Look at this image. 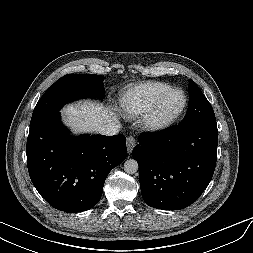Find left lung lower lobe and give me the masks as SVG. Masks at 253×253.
<instances>
[{"label": "left lung lower lobe", "mask_w": 253, "mask_h": 253, "mask_svg": "<svg viewBox=\"0 0 253 253\" xmlns=\"http://www.w3.org/2000/svg\"><path fill=\"white\" fill-rule=\"evenodd\" d=\"M217 144L216 120L140 135L132 157L146 204L180 210L195 202L212 179Z\"/></svg>", "instance_id": "1"}]
</instances>
